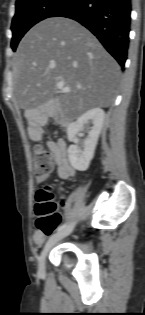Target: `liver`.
Instances as JSON below:
<instances>
[{"mask_svg":"<svg viewBox=\"0 0 145 315\" xmlns=\"http://www.w3.org/2000/svg\"><path fill=\"white\" fill-rule=\"evenodd\" d=\"M120 73L115 59L85 27L68 18H48L19 43L13 59V102L25 109L28 120L49 109L68 124L92 108L108 107ZM59 81L70 92L55 97Z\"/></svg>","mask_w":145,"mask_h":315,"instance_id":"obj_1","label":"liver"}]
</instances>
